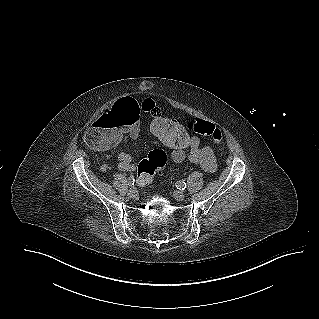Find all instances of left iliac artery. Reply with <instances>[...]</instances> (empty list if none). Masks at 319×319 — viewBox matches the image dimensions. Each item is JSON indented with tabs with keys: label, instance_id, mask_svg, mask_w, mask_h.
<instances>
[{
	"label": "left iliac artery",
	"instance_id": "44dca946",
	"mask_svg": "<svg viewBox=\"0 0 319 319\" xmlns=\"http://www.w3.org/2000/svg\"><path fill=\"white\" fill-rule=\"evenodd\" d=\"M176 187L179 189V190H185V188L187 187L186 183L183 182V181H178L176 182Z\"/></svg>",
	"mask_w": 319,
	"mask_h": 319
}]
</instances>
